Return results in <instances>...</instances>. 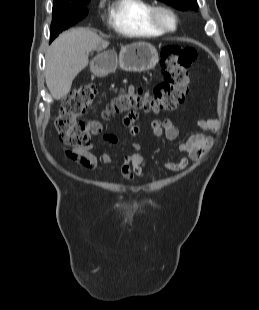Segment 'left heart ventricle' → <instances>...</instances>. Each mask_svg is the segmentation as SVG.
<instances>
[{"label":"left heart ventricle","mask_w":259,"mask_h":310,"mask_svg":"<svg viewBox=\"0 0 259 310\" xmlns=\"http://www.w3.org/2000/svg\"><path fill=\"white\" fill-rule=\"evenodd\" d=\"M162 19L166 24L171 25V19L169 17L163 15Z\"/></svg>","instance_id":"obj_1"}]
</instances>
